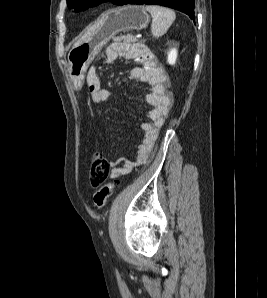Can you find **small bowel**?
Returning a JSON list of instances; mask_svg holds the SVG:
<instances>
[{"mask_svg":"<svg viewBox=\"0 0 267 298\" xmlns=\"http://www.w3.org/2000/svg\"><path fill=\"white\" fill-rule=\"evenodd\" d=\"M119 58L135 60L139 63L131 69L130 77L149 87L146 102L149 105L148 121L143 122V137L137 146L135 161L118 158L110 162L113 177L129 173L135 166L148 161L158 132L172 106V96L168 91L169 78L161 64L149 48L140 43L114 42L106 50V63H113ZM86 84L92 101L101 103L110 97V91L104 87L102 79L91 67L87 73Z\"/></svg>","mask_w":267,"mask_h":298,"instance_id":"obj_1","label":"small bowel"}]
</instances>
